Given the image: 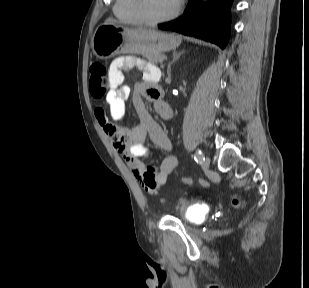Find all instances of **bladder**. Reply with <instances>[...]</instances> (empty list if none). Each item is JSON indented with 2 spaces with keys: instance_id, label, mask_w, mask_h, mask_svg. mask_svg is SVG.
<instances>
[{
  "instance_id": "31cf9c89",
  "label": "bladder",
  "mask_w": 309,
  "mask_h": 288,
  "mask_svg": "<svg viewBox=\"0 0 309 288\" xmlns=\"http://www.w3.org/2000/svg\"><path fill=\"white\" fill-rule=\"evenodd\" d=\"M207 209L198 206H184L182 208L183 219L193 226H198L203 223L207 217Z\"/></svg>"
}]
</instances>
